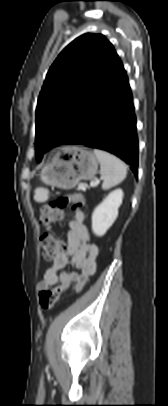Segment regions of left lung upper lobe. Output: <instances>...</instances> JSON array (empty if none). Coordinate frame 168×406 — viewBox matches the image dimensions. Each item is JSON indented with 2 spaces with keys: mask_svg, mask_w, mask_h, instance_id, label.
Returning a JSON list of instances; mask_svg holds the SVG:
<instances>
[{
  "mask_svg": "<svg viewBox=\"0 0 168 406\" xmlns=\"http://www.w3.org/2000/svg\"><path fill=\"white\" fill-rule=\"evenodd\" d=\"M120 65L112 44L101 34L86 33L59 54L38 98L35 144L39 161L42 154L78 133Z\"/></svg>",
  "mask_w": 168,
  "mask_h": 406,
  "instance_id": "obj_1",
  "label": "left lung upper lobe"
}]
</instances>
